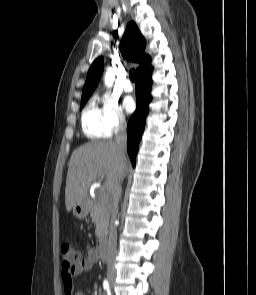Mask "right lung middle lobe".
<instances>
[{
    "label": "right lung middle lobe",
    "mask_w": 256,
    "mask_h": 295,
    "mask_svg": "<svg viewBox=\"0 0 256 295\" xmlns=\"http://www.w3.org/2000/svg\"><path fill=\"white\" fill-rule=\"evenodd\" d=\"M90 96H85L81 98V109L82 107L85 105V103L87 102V100L89 99Z\"/></svg>",
    "instance_id": "1"
}]
</instances>
